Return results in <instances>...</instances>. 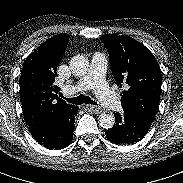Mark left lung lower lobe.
I'll return each instance as SVG.
<instances>
[{"instance_id": "left-lung-lower-lobe-1", "label": "left lung lower lobe", "mask_w": 183, "mask_h": 183, "mask_svg": "<svg viewBox=\"0 0 183 183\" xmlns=\"http://www.w3.org/2000/svg\"><path fill=\"white\" fill-rule=\"evenodd\" d=\"M151 123L146 117L123 109V113H115V124L106 131V137L115 144H134L147 134Z\"/></svg>"}]
</instances>
